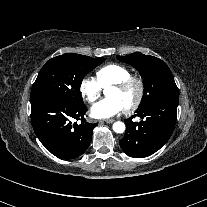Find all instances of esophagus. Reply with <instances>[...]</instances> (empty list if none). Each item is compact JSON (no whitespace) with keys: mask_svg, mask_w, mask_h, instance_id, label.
I'll use <instances>...</instances> for the list:
<instances>
[{"mask_svg":"<svg viewBox=\"0 0 207 207\" xmlns=\"http://www.w3.org/2000/svg\"><path fill=\"white\" fill-rule=\"evenodd\" d=\"M100 122H105V123L110 124V123L115 122V119L109 118V119H104V120H101Z\"/></svg>","mask_w":207,"mask_h":207,"instance_id":"34e87169","label":"esophagus"}]
</instances>
